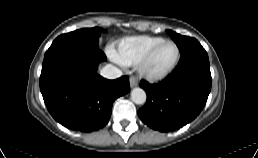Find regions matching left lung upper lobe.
Wrapping results in <instances>:
<instances>
[{"label":"left lung upper lobe","mask_w":258,"mask_h":158,"mask_svg":"<svg viewBox=\"0 0 258 158\" xmlns=\"http://www.w3.org/2000/svg\"><path fill=\"white\" fill-rule=\"evenodd\" d=\"M167 33L173 39V41L177 44L180 53H183L186 49H188L192 44L198 42L196 39L186 36H181L171 30H167Z\"/></svg>","instance_id":"left-lung-upper-lobe-1"}]
</instances>
